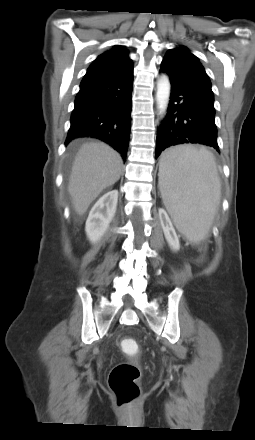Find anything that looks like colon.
Returning <instances> with one entry per match:
<instances>
[{
    "label": "colon",
    "instance_id": "colon-1",
    "mask_svg": "<svg viewBox=\"0 0 255 440\" xmlns=\"http://www.w3.org/2000/svg\"><path fill=\"white\" fill-rule=\"evenodd\" d=\"M120 348L127 354H135L139 350L137 342L131 338H123ZM140 368L134 363L115 365L109 374V387L119 406L134 402L140 396Z\"/></svg>",
    "mask_w": 255,
    "mask_h": 440
}]
</instances>
